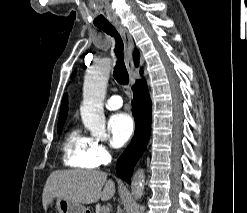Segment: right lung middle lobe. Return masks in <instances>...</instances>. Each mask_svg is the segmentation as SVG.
I'll return each instance as SVG.
<instances>
[{"instance_id": "dd1d6c3e", "label": "right lung middle lobe", "mask_w": 247, "mask_h": 213, "mask_svg": "<svg viewBox=\"0 0 247 213\" xmlns=\"http://www.w3.org/2000/svg\"><path fill=\"white\" fill-rule=\"evenodd\" d=\"M63 124H64V123L58 124V128H57V129H58V133H60V131L62 130Z\"/></svg>"}]
</instances>
